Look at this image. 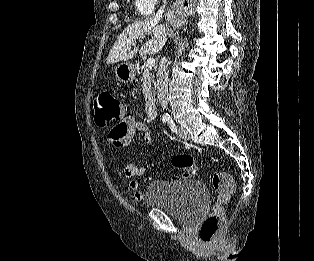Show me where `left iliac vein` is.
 <instances>
[{
  "instance_id": "obj_1",
  "label": "left iliac vein",
  "mask_w": 314,
  "mask_h": 261,
  "mask_svg": "<svg viewBox=\"0 0 314 261\" xmlns=\"http://www.w3.org/2000/svg\"><path fill=\"white\" fill-rule=\"evenodd\" d=\"M179 136L184 140L190 139V135H189L188 131L182 127L179 129Z\"/></svg>"
}]
</instances>
